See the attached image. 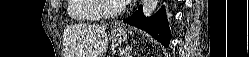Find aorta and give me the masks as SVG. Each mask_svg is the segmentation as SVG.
<instances>
[{
	"instance_id": "1",
	"label": "aorta",
	"mask_w": 249,
	"mask_h": 57,
	"mask_svg": "<svg viewBox=\"0 0 249 57\" xmlns=\"http://www.w3.org/2000/svg\"><path fill=\"white\" fill-rule=\"evenodd\" d=\"M159 0H143V15L145 17H150L154 14Z\"/></svg>"
}]
</instances>
